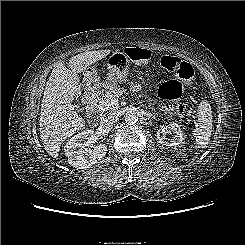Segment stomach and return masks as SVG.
<instances>
[{
	"label": "stomach",
	"instance_id": "1",
	"mask_svg": "<svg viewBox=\"0 0 245 245\" xmlns=\"http://www.w3.org/2000/svg\"><path fill=\"white\" fill-rule=\"evenodd\" d=\"M129 59L128 56L116 51L112 53L107 61V68L109 70L105 86L109 89L116 88L119 84L126 82L129 75ZM84 80L88 83L98 80L96 72L92 68H87L84 71Z\"/></svg>",
	"mask_w": 245,
	"mask_h": 245
}]
</instances>
